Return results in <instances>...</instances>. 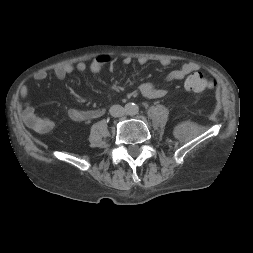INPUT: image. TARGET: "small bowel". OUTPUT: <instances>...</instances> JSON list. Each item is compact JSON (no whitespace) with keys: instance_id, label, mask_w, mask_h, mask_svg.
<instances>
[{"instance_id":"obj_1","label":"small bowel","mask_w":253,"mask_h":253,"mask_svg":"<svg viewBox=\"0 0 253 253\" xmlns=\"http://www.w3.org/2000/svg\"><path fill=\"white\" fill-rule=\"evenodd\" d=\"M132 58L126 56L122 59V63L130 65ZM138 63L144 65L148 62V58L141 56L138 58ZM113 59L108 55H101L93 58L89 63L78 62L77 64H63L54 69L55 76L58 79H64L74 71L86 72L88 70L92 72L100 71L105 65H111ZM171 61L168 58H162L160 64L162 66L170 65ZM199 69V65L195 62H188L181 67L169 71L163 78L165 83H170L176 80L184 79L186 76ZM47 77L45 71H40L35 75L36 80H44ZM141 94L147 99L162 98L168 94V90L163 87L156 86L152 82H143L139 86ZM28 87H24L21 91L22 98V119L25 124L39 133H47L54 128V121L49 117H41L36 114L35 108L28 101ZM105 111L102 108H94L89 110L70 109L68 111L69 118L74 122H89L91 120L98 119L104 115Z\"/></svg>"}]
</instances>
